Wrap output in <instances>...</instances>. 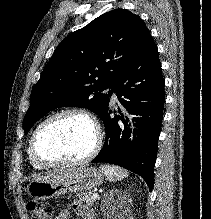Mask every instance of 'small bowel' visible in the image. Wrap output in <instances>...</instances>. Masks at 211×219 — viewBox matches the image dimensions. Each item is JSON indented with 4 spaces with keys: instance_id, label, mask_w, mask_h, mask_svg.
Masks as SVG:
<instances>
[{
    "instance_id": "c3829d8e",
    "label": "small bowel",
    "mask_w": 211,
    "mask_h": 219,
    "mask_svg": "<svg viewBox=\"0 0 211 219\" xmlns=\"http://www.w3.org/2000/svg\"><path fill=\"white\" fill-rule=\"evenodd\" d=\"M71 209L81 219H95L94 215L88 208L81 207L78 204L74 203L72 204ZM69 218H70V211L68 209H63L58 213L55 219H69Z\"/></svg>"
}]
</instances>
